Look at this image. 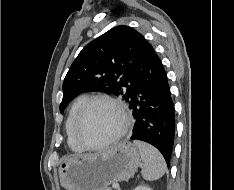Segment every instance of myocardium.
<instances>
[{"label":"myocardium","mask_w":234,"mask_h":190,"mask_svg":"<svg viewBox=\"0 0 234 190\" xmlns=\"http://www.w3.org/2000/svg\"><path fill=\"white\" fill-rule=\"evenodd\" d=\"M99 101L107 102V103L111 104L113 107H115L121 116L122 123H121V127L119 128V130L110 139H108L102 143L92 145V144L87 143L82 138L80 131H81L83 119L85 117V114H86L88 108L93 103L99 102ZM130 124H131V120H130L129 113H128L126 107L123 105V103L120 100H118L110 95H107V94H97V95H93V96L88 97L84 101V103L82 104L81 108L79 109V111L77 113L76 119H75L73 134H74L75 140L83 147V149H85V150H98V149L105 148V147L115 143L116 141H118L128 131Z\"/></svg>","instance_id":"f54148a6"}]
</instances>
